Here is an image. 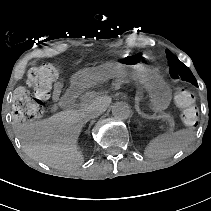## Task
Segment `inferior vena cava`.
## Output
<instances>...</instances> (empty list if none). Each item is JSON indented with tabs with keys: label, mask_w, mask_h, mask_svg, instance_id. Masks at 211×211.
<instances>
[{
	"label": "inferior vena cava",
	"mask_w": 211,
	"mask_h": 211,
	"mask_svg": "<svg viewBox=\"0 0 211 211\" xmlns=\"http://www.w3.org/2000/svg\"><path fill=\"white\" fill-rule=\"evenodd\" d=\"M83 113V119L85 121H88L93 118H97L99 115L104 113V108L103 107H98L97 105L90 104L83 108L82 110Z\"/></svg>",
	"instance_id": "inferior-vena-cava-1"
}]
</instances>
